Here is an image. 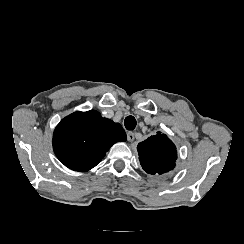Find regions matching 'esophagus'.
<instances>
[{
  "label": "esophagus",
  "mask_w": 244,
  "mask_h": 244,
  "mask_svg": "<svg viewBox=\"0 0 244 244\" xmlns=\"http://www.w3.org/2000/svg\"><path fill=\"white\" fill-rule=\"evenodd\" d=\"M134 138H135V135L132 131H128L127 132V139L129 142H133L134 141Z\"/></svg>",
  "instance_id": "esophagus-1"
}]
</instances>
